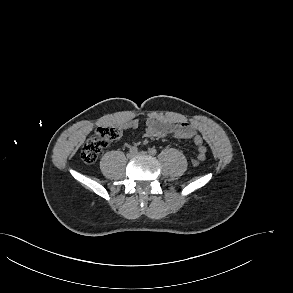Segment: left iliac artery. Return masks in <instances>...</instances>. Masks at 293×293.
I'll return each instance as SVG.
<instances>
[{"instance_id":"44dca946","label":"left iliac artery","mask_w":293,"mask_h":293,"mask_svg":"<svg viewBox=\"0 0 293 293\" xmlns=\"http://www.w3.org/2000/svg\"><path fill=\"white\" fill-rule=\"evenodd\" d=\"M156 153H157V150L155 148H150L149 149V154L150 155H156Z\"/></svg>"}]
</instances>
